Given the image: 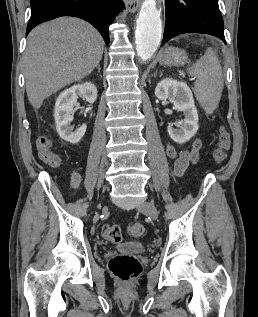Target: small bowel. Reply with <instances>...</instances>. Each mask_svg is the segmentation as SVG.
Wrapping results in <instances>:
<instances>
[{
	"label": "small bowel",
	"instance_id": "1",
	"mask_svg": "<svg viewBox=\"0 0 258 317\" xmlns=\"http://www.w3.org/2000/svg\"><path fill=\"white\" fill-rule=\"evenodd\" d=\"M38 152L41 151L52 152V140L47 135H40L36 140ZM201 148V141L195 139L190 148L184 150H177L172 144L168 143L166 146L168 156L174 160V173L181 176L190 164L197 162L199 158V150ZM81 182V176L77 171L71 173V185L77 188Z\"/></svg>",
	"mask_w": 258,
	"mask_h": 317
}]
</instances>
